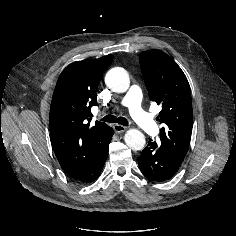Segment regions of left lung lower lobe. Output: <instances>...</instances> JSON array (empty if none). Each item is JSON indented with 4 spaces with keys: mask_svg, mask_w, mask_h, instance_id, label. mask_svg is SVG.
Wrapping results in <instances>:
<instances>
[{
    "mask_svg": "<svg viewBox=\"0 0 236 236\" xmlns=\"http://www.w3.org/2000/svg\"><path fill=\"white\" fill-rule=\"evenodd\" d=\"M182 161L159 147L151 139L138 157V164L144 176L151 181L158 182L171 178L179 169Z\"/></svg>",
    "mask_w": 236,
    "mask_h": 236,
    "instance_id": "left-lung-lower-lobe-1",
    "label": "left lung lower lobe"
}]
</instances>
